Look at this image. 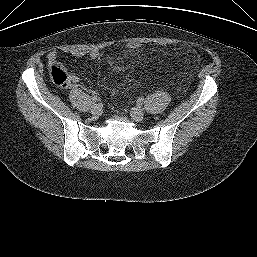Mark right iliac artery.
<instances>
[{
	"mask_svg": "<svg viewBox=\"0 0 257 257\" xmlns=\"http://www.w3.org/2000/svg\"><path fill=\"white\" fill-rule=\"evenodd\" d=\"M91 99L93 102H97L99 100V98L97 96H93Z\"/></svg>",
	"mask_w": 257,
	"mask_h": 257,
	"instance_id": "82829eb1",
	"label": "right iliac artery"
}]
</instances>
